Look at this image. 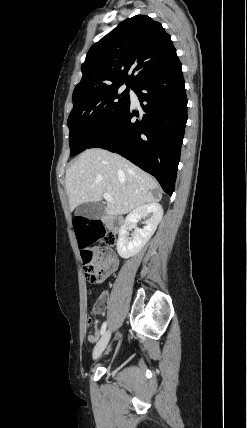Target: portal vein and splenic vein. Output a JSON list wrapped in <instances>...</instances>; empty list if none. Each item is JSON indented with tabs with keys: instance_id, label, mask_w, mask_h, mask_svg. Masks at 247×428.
I'll list each match as a JSON object with an SVG mask.
<instances>
[{
	"instance_id": "portal-vein-and-splenic-vein-1",
	"label": "portal vein and splenic vein",
	"mask_w": 247,
	"mask_h": 428,
	"mask_svg": "<svg viewBox=\"0 0 247 428\" xmlns=\"http://www.w3.org/2000/svg\"><path fill=\"white\" fill-rule=\"evenodd\" d=\"M103 197H104V199H105L107 202H111V203H113V199H112V197H111V195H110L109 193H104V194H103Z\"/></svg>"
}]
</instances>
